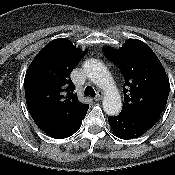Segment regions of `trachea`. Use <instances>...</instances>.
Wrapping results in <instances>:
<instances>
[{"label":"trachea","instance_id":"trachea-1","mask_svg":"<svg viewBox=\"0 0 175 175\" xmlns=\"http://www.w3.org/2000/svg\"><path fill=\"white\" fill-rule=\"evenodd\" d=\"M85 96L95 97L96 93L91 86H87L84 91Z\"/></svg>","mask_w":175,"mask_h":175}]
</instances>
